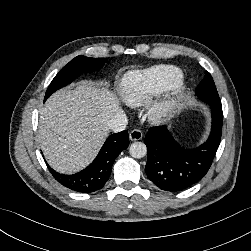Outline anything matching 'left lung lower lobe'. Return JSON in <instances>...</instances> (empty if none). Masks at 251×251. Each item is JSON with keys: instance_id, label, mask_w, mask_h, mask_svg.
Returning <instances> with one entry per match:
<instances>
[{"instance_id": "0a47b994", "label": "left lung lower lobe", "mask_w": 251, "mask_h": 251, "mask_svg": "<svg viewBox=\"0 0 251 251\" xmlns=\"http://www.w3.org/2000/svg\"><path fill=\"white\" fill-rule=\"evenodd\" d=\"M212 112L210 136L202 145L186 149L171 135L167 126L152 127L145 137L147 146L146 174L164 191L184 190L208 172L219 147L223 113L221 103L209 104Z\"/></svg>"}]
</instances>
